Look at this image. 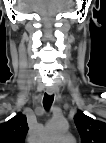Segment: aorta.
Segmentation results:
<instances>
[{
	"mask_svg": "<svg viewBox=\"0 0 106 143\" xmlns=\"http://www.w3.org/2000/svg\"><path fill=\"white\" fill-rule=\"evenodd\" d=\"M68 130V124L64 120H51L43 132V140L54 141Z\"/></svg>",
	"mask_w": 106,
	"mask_h": 143,
	"instance_id": "aorta-1",
	"label": "aorta"
}]
</instances>
